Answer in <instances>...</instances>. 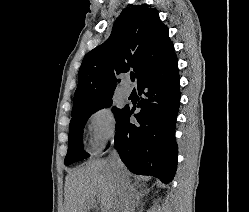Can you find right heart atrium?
<instances>
[{
	"label": "right heart atrium",
	"mask_w": 249,
	"mask_h": 212,
	"mask_svg": "<svg viewBox=\"0 0 249 212\" xmlns=\"http://www.w3.org/2000/svg\"><path fill=\"white\" fill-rule=\"evenodd\" d=\"M89 145L96 153H101L114 143L117 134V121L112 110L100 106L92 110L86 118Z\"/></svg>",
	"instance_id": "right-heart-atrium-1"
}]
</instances>
